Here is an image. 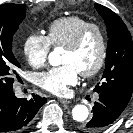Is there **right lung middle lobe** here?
<instances>
[{
	"label": "right lung middle lobe",
	"mask_w": 133,
	"mask_h": 133,
	"mask_svg": "<svg viewBox=\"0 0 133 133\" xmlns=\"http://www.w3.org/2000/svg\"><path fill=\"white\" fill-rule=\"evenodd\" d=\"M25 5L3 4L0 6V95L13 90L20 67L12 51V40L25 18Z\"/></svg>",
	"instance_id": "right-lung-middle-lobe-1"
}]
</instances>
